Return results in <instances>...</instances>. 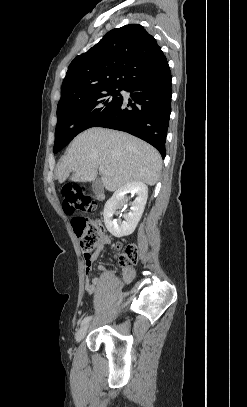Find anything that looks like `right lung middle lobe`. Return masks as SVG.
Returning <instances> with one entry per match:
<instances>
[{"instance_id": "dd1d6c3e", "label": "right lung middle lobe", "mask_w": 247, "mask_h": 407, "mask_svg": "<svg viewBox=\"0 0 247 407\" xmlns=\"http://www.w3.org/2000/svg\"><path fill=\"white\" fill-rule=\"evenodd\" d=\"M121 90L124 87H109L57 107L54 153L62 150L77 134L107 117L123 100Z\"/></svg>"}]
</instances>
